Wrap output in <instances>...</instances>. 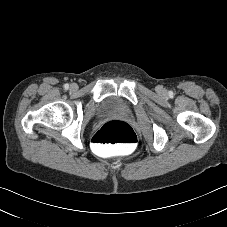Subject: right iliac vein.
Listing matches in <instances>:
<instances>
[{
	"label": "right iliac vein",
	"instance_id": "1",
	"mask_svg": "<svg viewBox=\"0 0 227 227\" xmlns=\"http://www.w3.org/2000/svg\"><path fill=\"white\" fill-rule=\"evenodd\" d=\"M70 89H71L72 91H75V90L78 89V85L75 84V83H73V84H71Z\"/></svg>",
	"mask_w": 227,
	"mask_h": 227
}]
</instances>
